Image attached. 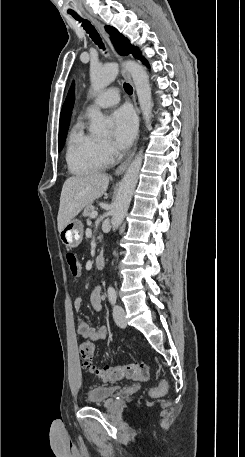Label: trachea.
<instances>
[{"instance_id": "1", "label": "trachea", "mask_w": 245, "mask_h": 457, "mask_svg": "<svg viewBox=\"0 0 245 457\" xmlns=\"http://www.w3.org/2000/svg\"><path fill=\"white\" fill-rule=\"evenodd\" d=\"M70 15H72L76 20H81V18L77 15V13H71ZM83 27L84 29L86 30V32L88 34H90V37L92 38V40L101 48L103 49V43L101 41V38L99 36V34L97 33V31L95 30V28L91 25V23L87 20H84L83 21ZM124 90L126 93H128L129 95L132 94L133 92V88L131 87V85H129V83H124Z\"/></svg>"}]
</instances>
